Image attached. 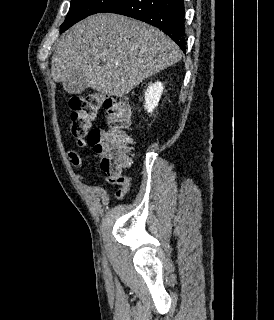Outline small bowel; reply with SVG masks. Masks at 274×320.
Segmentation results:
<instances>
[{"label":"small bowel","mask_w":274,"mask_h":320,"mask_svg":"<svg viewBox=\"0 0 274 320\" xmlns=\"http://www.w3.org/2000/svg\"><path fill=\"white\" fill-rule=\"evenodd\" d=\"M89 143L86 139H79L77 141V146L80 147V148H83V147H86L88 146ZM67 156L70 160V162L72 163L73 166L77 167V168H82L83 167V161H82V158L79 154L78 151L76 150H69L68 153H67ZM76 177L78 180L82 181V182H85V183H89L85 177L79 173L76 174ZM118 198V197H117ZM118 199H122V198H118Z\"/></svg>","instance_id":"1"}]
</instances>
